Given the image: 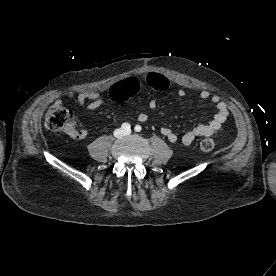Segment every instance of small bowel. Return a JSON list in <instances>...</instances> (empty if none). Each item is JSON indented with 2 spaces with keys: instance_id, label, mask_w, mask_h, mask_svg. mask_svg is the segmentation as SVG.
I'll list each match as a JSON object with an SVG mask.
<instances>
[{
  "instance_id": "obj_1",
  "label": "small bowel",
  "mask_w": 276,
  "mask_h": 276,
  "mask_svg": "<svg viewBox=\"0 0 276 276\" xmlns=\"http://www.w3.org/2000/svg\"><path fill=\"white\" fill-rule=\"evenodd\" d=\"M148 84L151 88L156 90H166L168 88V80L161 74L151 73L149 74ZM116 88L117 91L113 94V89ZM141 89L140 82L136 78H129L113 86L110 89V95L115 99L128 98L135 96ZM177 94L179 96L185 95L184 89H178ZM72 94H69L68 97H72ZM200 97L204 100H209L215 107L216 112L212 119L206 124H200L194 129L185 132L182 136H179L175 131L167 126L160 128L161 134L166 137V139L171 143H177L181 141L184 145H190L198 137H207L213 136L220 133L223 129V125L226 122L229 111L227 104L216 94H213L207 90H202L200 92ZM75 101L79 105H83L90 110H95L100 108L103 105V98L99 92L94 90H88L79 93L75 97ZM62 102L61 99L56 101L57 104ZM156 103L154 100L149 102V108L155 109ZM148 116L146 113L141 112L138 114V120L140 122H146ZM72 137L75 139H85L88 135V132L84 129L74 130L71 133Z\"/></svg>"
}]
</instances>
